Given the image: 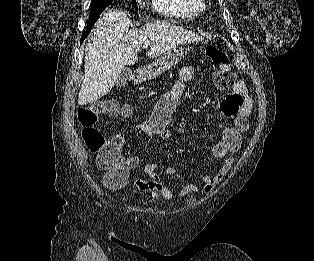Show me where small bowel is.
Wrapping results in <instances>:
<instances>
[{"label": "small bowel", "mask_w": 314, "mask_h": 261, "mask_svg": "<svg viewBox=\"0 0 314 261\" xmlns=\"http://www.w3.org/2000/svg\"><path fill=\"white\" fill-rule=\"evenodd\" d=\"M199 70L198 66L186 65L181 68L178 78L173 86L159 99L155 105L151 116L148 120L143 121L136 126V133L139 135H157L164 140L170 139V134L166 129L169 118L174 112L180 96L183 94L187 82ZM252 102L247 87L242 81H237L233 88V93L229 97L220 101L218 111L220 116L232 119V125L223 128L220 139L210 146L212 155L223 161L222 165L214 175H205L202 177L201 185L194 182H187L178 191L181 197L187 196L200 188L204 193L210 194L222 179L229 173L233 166L232 154L239 151L242 144V133L246 132L249 127L248 116L251 113ZM128 109H124L127 113ZM117 140L123 144L122 136ZM119 161L129 167L138 165V158L119 156ZM157 162H151L144 166V173L148 179L134 180V186L143 192L148 193L149 198L154 199L162 197L171 199L174 196L172 189L161 179L156 172ZM178 174V169L173 166L164 168V175L173 176Z\"/></svg>", "instance_id": "c3829d8e"}]
</instances>
